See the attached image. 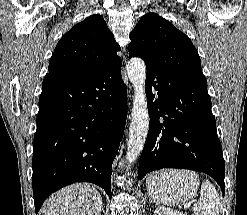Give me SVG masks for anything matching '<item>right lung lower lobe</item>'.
Returning <instances> with one entry per match:
<instances>
[{"label":"right lung lower lobe","instance_id":"1","mask_svg":"<svg viewBox=\"0 0 247 215\" xmlns=\"http://www.w3.org/2000/svg\"><path fill=\"white\" fill-rule=\"evenodd\" d=\"M122 62L85 79L48 73L33 140L36 214L47 197L75 182H91L111 198L112 163L127 118Z\"/></svg>","mask_w":247,"mask_h":215}]
</instances>
